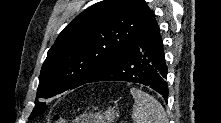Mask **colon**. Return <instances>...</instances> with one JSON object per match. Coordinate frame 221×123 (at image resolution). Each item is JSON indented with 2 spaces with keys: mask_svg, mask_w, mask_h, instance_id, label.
Masks as SVG:
<instances>
[{
  "mask_svg": "<svg viewBox=\"0 0 221 123\" xmlns=\"http://www.w3.org/2000/svg\"><path fill=\"white\" fill-rule=\"evenodd\" d=\"M56 122H58V123H64L65 120L62 119L60 116H57V117H56Z\"/></svg>",
  "mask_w": 221,
  "mask_h": 123,
  "instance_id": "5ec220e1",
  "label": "colon"
}]
</instances>
